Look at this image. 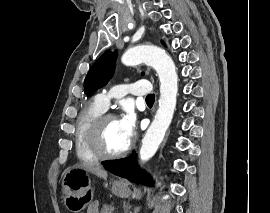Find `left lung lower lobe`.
Masks as SVG:
<instances>
[{"label":"left lung lower lobe","mask_w":270,"mask_h":213,"mask_svg":"<svg viewBox=\"0 0 270 213\" xmlns=\"http://www.w3.org/2000/svg\"><path fill=\"white\" fill-rule=\"evenodd\" d=\"M136 154L132 153L129 157L116 160L109 165H105V169L123 178H128L135 183L152 186V179L144 171L138 167L135 159Z\"/></svg>","instance_id":"0a47b994"}]
</instances>
